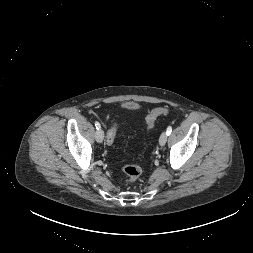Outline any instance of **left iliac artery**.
Listing matches in <instances>:
<instances>
[{
	"instance_id": "1",
	"label": "left iliac artery",
	"mask_w": 253,
	"mask_h": 253,
	"mask_svg": "<svg viewBox=\"0 0 253 253\" xmlns=\"http://www.w3.org/2000/svg\"><path fill=\"white\" fill-rule=\"evenodd\" d=\"M172 132V127L171 126H168L167 128V135H170Z\"/></svg>"
}]
</instances>
